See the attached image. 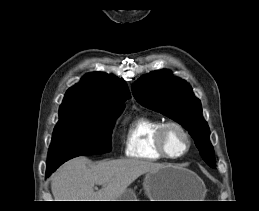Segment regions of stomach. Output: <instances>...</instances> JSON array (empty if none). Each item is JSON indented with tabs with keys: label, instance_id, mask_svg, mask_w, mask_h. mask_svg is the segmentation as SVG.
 Returning <instances> with one entry per match:
<instances>
[{
	"label": "stomach",
	"instance_id": "1",
	"mask_svg": "<svg viewBox=\"0 0 259 211\" xmlns=\"http://www.w3.org/2000/svg\"><path fill=\"white\" fill-rule=\"evenodd\" d=\"M144 189L150 201H195L202 196L204 184L192 171L172 165L146 173ZM133 190L126 189L116 201H136Z\"/></svg>",
	"mask_w": 259,
	"mask_h": 211
}]
</instances>
